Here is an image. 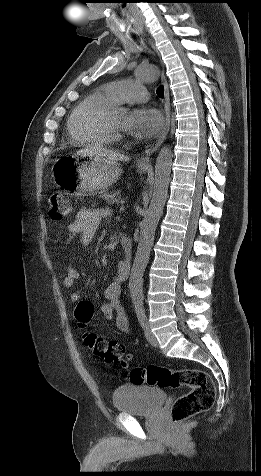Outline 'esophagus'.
Returning <instances> with one entry per match:
<instances>
[{"instance_id":"1","label":"esophagus","mask_w":261,"mask_h":476,"mask_svg":"<svg viewBox=\"0 0 261 476\" xmlns=\"http://www.w3.org/2000/svg\"><path fill=\"white\" fill-rule=\"evenodd\" d=\"M151 47L156 50L154 44L150 42ZM161 82L164 86V110H165V124L161 132L156 136L155 140L153 143L149 144L146 146L143 155L141 158L138 160V165L139 166H149L150 161H151V156L152 154L158 150V148L161 146V144L164 142L169 129H170V98H169V88H168V82L164 73V70L162 71L161 75Z\"/></svg>"}]
</instances>
